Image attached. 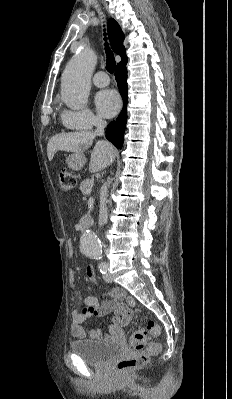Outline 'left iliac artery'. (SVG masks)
Masks as SVG:
<instances>
[{
	"label": "left iliac artery",
	"mask_w": 232,
	"mask_h": 399,
	"mask_svg": "<svg viewBox=\"0 0 232 399\" xmlns=\"http://www.w3.org/2000/svg\"><path fill=\"white\" fill-rule=\"evenodd\" d=\"M91 256H93L97 260H102L104 257L103 253H92ZM100 272L102 274H105L109 270V266L106 262H100L99 264Z\"/></svg>",
	"instance_id": "1"
}]
</instances>
